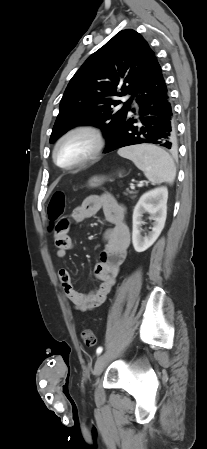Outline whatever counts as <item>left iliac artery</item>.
I'll list each match as a JSON object with an SVG mask.
<instances>
[{"mask_svg": "<svg viewBox=\"0 0 207 449\" xmlns=\"http://www.w3.org/2000/svg\"><path fill=\"white\" fill-rule=\"evenodd\" d=\"M102 351H103V348L101 346L98 347L96 350L97 355L101 354Z\"/></svg>", "mask_w": 207, "mask_h": 449, "instance_id": "1", "label": "left iliac artery"}]
</instances>
